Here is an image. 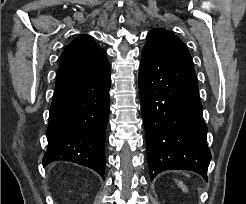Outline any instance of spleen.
<instances>
[{
    "label": "spleen",
    "instance_id": "spleen-1",
    "mask_svg": "<svg viewBox=\"0 0 246 204\" xmlns=\"http://www.w3.org/2000/svg\"><path fill=\"white\" fill-rule=\"evenodd\" d=\"M176 182L178 183V186L182 189L183 192H188L187 186L182 181L176 180Z\"/></svg>",
    "mask_w": 246,
    "mask_h": 204
}]
</instances>
